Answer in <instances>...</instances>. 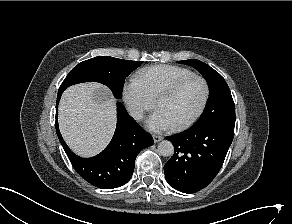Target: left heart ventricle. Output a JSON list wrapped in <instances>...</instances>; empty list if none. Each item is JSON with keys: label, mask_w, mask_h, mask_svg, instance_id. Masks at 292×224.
<instances>
[{"label": "left heart ventricle", "mask_w": 292, "mask_h": 224, "mask_svg": "<svg viewBox=\"0 0 292 224\" xmlns=\"http://www.w3.org/2000/svg\"><path fill=\"white\" fill-rule=\"evenodd\" d=\"M204 96V87L198 80H192L175 95L162 100L157 109L161 110L173 126L190 119L200 107Z\"/></svg>", "instance_id": "b2bd125f"}]
</instances>
